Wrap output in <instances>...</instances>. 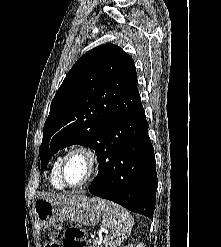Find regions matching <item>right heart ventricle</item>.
I'll return each mask as SVG.
<instances>
[{"label": "right heart ventricle", "instance_id": "e07e8e85", "mask_svg": "<svg viewBox=\"0 0 221 247\" xmlns=\"http://www.w3.org/2000/svg\"><path fill=\"white\" fill-rule=\"evenodd\" d=\"M61 160H62V156H58L55 159L53 166H52L51 175H50L51 184L53 185L54 188L59 189V190H62L64 188V184L61 181L60 176H59Z\"/></svg>", "mask_w": 221, "mask_h": 247}]
</instances>
